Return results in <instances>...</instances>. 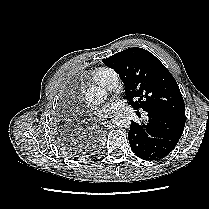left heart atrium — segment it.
<instances>
[{
	"instance_id": "left-heart-atrium-1",
	"label": "left heart atrium",
	"mask_w": 209,
	"mask_h": 209,
	"mask_svg": "<svg viewBox=\"0 0 209 209\" xmlns=\"http://www.w3.org/2000/svg\"><path fill=\"white\" fill-rule=\"evenodd\" d=\"M118 109V104L116 102H109L104 105L99 111L98 114L101 117H107L113 114Z\"/></svg>"
}]
</instances>
